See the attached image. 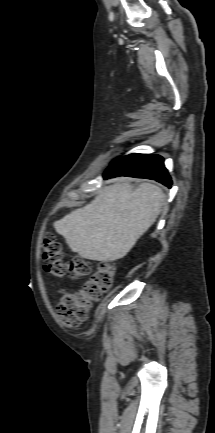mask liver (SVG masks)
<instances>
[{
	"label": "liver",
	"mask_w": 215,
	"mask_h": 433,
	"mask_svg": "<svg viewBox=\"0 0 215 433\" xmlns=\"http://www.w3.org/2000/svg\"><path fill=\"white\" fill-rule=\"evenodd\" d=\"M165 203L158 186L144 182L133 190L129 182L105 187L83 208L54 223L82 258L112 262L123 258L152 226Z\"/></svg>",
	"instance_id": "1"
}]
</instances>
